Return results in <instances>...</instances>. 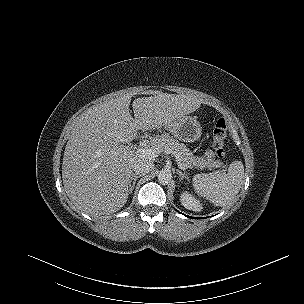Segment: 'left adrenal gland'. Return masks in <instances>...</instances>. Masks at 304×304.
I'll return each mask as SVG.
<instances>
[{"mask_svg": "<svg viewBox=\"0 0 304 304\" xmlns=\"http://www.w3.org/2000/svg\"><path fill=\"white\" fill-rule=\"evenodd\" d=\"M176 173L179 175L180 181H182L184 178L189 181V176H188V174L186 172H182V171H180V170L177 169Z\"/></svg>", "mask_w": 304, "mask_h": 304, "instance_id": "1", "label": "left adrenal gland"}]
</instances>
